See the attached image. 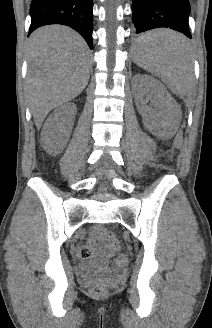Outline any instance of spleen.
<instances>
[{"label": "spleen", "instance_id": "spleen-1", "mask_svg": "<svg viewBox=\"0 0 212 328\" xmlns=\"http://www.w3.org/2000/svg\"><path fill=\"white\" fill-rule=\"evenodd\" d=\"M136 49L135 63L159 77L175 94L184 95L193 87V65L187 39L174 31L154 30L143 34Z\"/></svg>", "mask_w": 212, "mask_h": 328}]
</instances>
